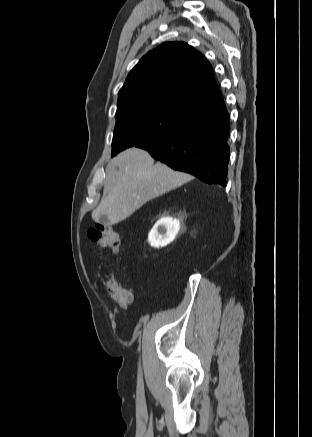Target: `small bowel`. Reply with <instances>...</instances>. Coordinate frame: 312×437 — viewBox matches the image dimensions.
<instances>
[{
  "instance_id": "obj_1",
  "label": "small bowel",
  "mask_w": 312,
  "mask_h": 437,
  "mask_svg": "<svg viewBox=\"0 0 312 437\" xmlns=\"http://www.w3.org/2000/svg\"><path fill=\"white\" fill-rule=\"evenodd\" d=\"M130 301H131V296H130ZM111 312H112V319L114 323L117 324L119 320V311L116 308H112Z\"/></svg>"
}]
</instances>
